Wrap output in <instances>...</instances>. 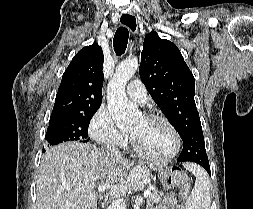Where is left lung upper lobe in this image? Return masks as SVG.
Here are the masks:
<instances>
[{
    "mask_svg": "<svg viewBox=\"0 0 253 209\" xmlns=\"http://www.w3.org/2000/svg\"><path fill=\"white\" fill-rule=\"evenodd\" d=\"M139 73L153 100L182 138L183 149L177 160L208 159L194 101V76L176 45L154 31L147 34Z\"/></svg>",
    "mask_w": 253,
    "mask_h": 209,
    "instance_id": "left-lung-upper-lobe-1",
    "label": "left lung upper lobe"
}]
</instances>
